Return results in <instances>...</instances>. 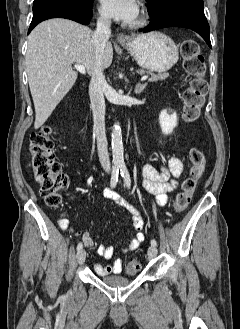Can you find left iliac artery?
I'll return each instance as SVG.
<instances>
[{"label":"left iliac artery","mask_w":240,"mask_h":329,"mask_svg":"<svg viewBox=\"0 0 240 329\" xmlns=\"http://www.w3.org/2000/svg\"><path fill=\"white\" fill-rule=\"evenodd\" d=\"M120 172H121V176L123 177L126 186L128 188H130V186H131V179H130V174L128 172L127 167L125 165H121L120 166ZM151 245L153 247H156L157 246V242H156L155 239L151 240Z\"/></svg>","instance_id":"44dca946"}]
</instances>
